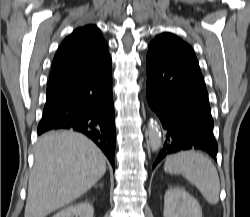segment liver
<instances>
[{"instance_id":"obj_1","label":"liver","mask_w":250,"mask_h":217,"mask_svg":"<svg viewBox=\"0 0 250 217\" xmlns=\"http://www.w3.org/2000/svg\"><path fill=\"white\" fill-rule=\"evenodd\" d=\"M105 172V156L84 135L73 131L44 134L35 149L24 217H45L70 204Z\"/></svg>"}]
</instances>
